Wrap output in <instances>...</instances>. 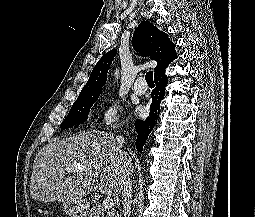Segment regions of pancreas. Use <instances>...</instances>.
I'll return each instance as SVG.
<instances>
[{"mask_svg": "<svg viewBox=\"0 0 255 217\" xmlns=\"http://www.w3.org/2000/svg\"><path fill=\"white\" fill-rule=\"evenodd\" d=\"M88 217H119L116 210H105L100 204H96L90 210Z\"/></svg>", "mask_w": 255, "mask_h": 217, "instance_id": "1", "label": "pancreas"}]
</instances>
